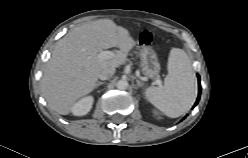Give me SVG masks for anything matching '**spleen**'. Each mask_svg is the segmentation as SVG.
<instances>
[{
    "label": "spleen",
    "mask_w": 248,
    "mask_h": 158,
    "mask_svg": "<svg viewBox=\"0 0 248 158\" xmlns=\"http://www.w3.org/2000/svg\"><path fill=\"white\" fill-rule=\"evenodd\" d=\"M168 74L163 86L148 87V101L166 116L177 118L185 114L197 96L196 76L190 60L182 49L173 48L168 58Z\"/></svg>",
    "instance_id": "obj_1"
}]
</instances>
